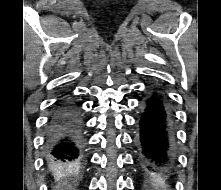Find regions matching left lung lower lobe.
Wrapping results in <instances>:
<instances>
[{
    "label": "left lung lower lobe",
    "instance_id": "1",
    "mask_svg": "<svg viewBox=\"0 0 221 190\" xmlns=\"http://www.w3.org/2000/svg\"><path fill=\"white\" fill-rule=\"evenodd\" d=\"M171 111L165 97L157 88L148 94L139 122L138 149L140 164L145 173L169 177L174 152Z\"/></svg>",
    "mask_w": 221,
    "mask_h": 190
}]
</instances>
